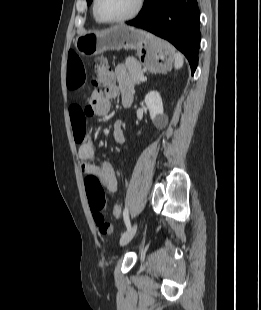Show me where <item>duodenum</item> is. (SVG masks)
I'll return each mask as SVG.
<instances>
[{
	"label": "duodenum",
	"instance_id": "410a0bca",
	"mask_svg": "<svg viewBox=\"0 0 261 310\" xmlns=\"http://www.w3.org/2000/svg\"><path fill=\"white\" fill-rule=\"evenodd\" d=\"M124 106H129L131 104V100L130 99H125L123 101Z\"/></svg>",
	"mask_w": 261,
	"mask_h": 310
}]
</instances>
